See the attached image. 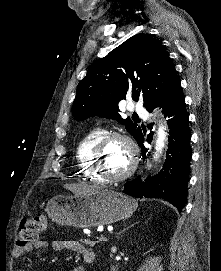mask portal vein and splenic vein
<instances>
[{
  "instance_id": "18ae733b",
  "label": "portal vein and splenic vein",
  "mask_w": 221,
  "mask_h": 271,
  "mask_svg": "<svg viewBox=\"0 0 221 271\" xmlns=\"http://www.w3.org/2000/svg\"><path fill=\"white\" fill-rule=\"evenodd\" d=\"M107 235H99V240H107Z\"/></svg>"
}]
</instances>
